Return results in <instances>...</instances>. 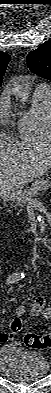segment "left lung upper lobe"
I'll return each instance as SVG.
<instances>
[{
    "label": "left lung upper lobe",
    "mask_w": 51,
    "mask_h": 393,
    "mask_svg": "<svg viewBox=\"0 0 51 393\" xmlns=\"http://www.w3.org/2000/svg\"><path fill=\"white\" fill-rule=\"evenodd\" d=\"M27 63L34 74L51 81V40L31 51Z\"/></svg>",
    "instance_id": "obj_1"
}]
</instances>
